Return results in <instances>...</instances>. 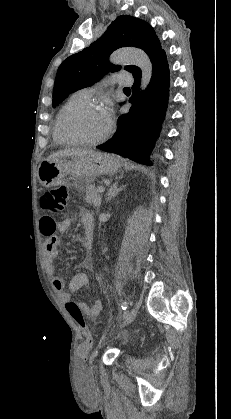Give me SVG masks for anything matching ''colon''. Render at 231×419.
Segmentation results:
<instances>
[{"mask_svg":"<svg viewBox=\"0 0 231 419\" xmlns=\"http://www.w3.org/2000/svg\"><path fill=\"white\" fill-rule=\"evenodd\" d=\"M68 203V189L66 186H58L49 189L42 197V206L54 212H62ZM66 308L75 321L81 326L84 337V348L92 344L91 332L85 327L81 311L74 301H68Z\"/></svg>","mask_w":231,"mask_h":419,"instance_id":"5ec220e1","label":"colon"}]
</instances>
